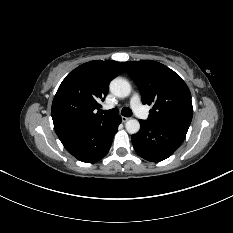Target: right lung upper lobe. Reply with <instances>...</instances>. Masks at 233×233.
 Returning a JSON list of instances; mask_svg holds the SVG:
<instances>
[{
    "mask_svg": "<svg viewBox=\"0 0 233 233\" xmlns=\"http://www.w3.org/2000/svg\"><path fill=\"white\" fill-rule=\"evenodd\" d=\"M122 71L117 61L94 60L69 73L60 84L52 103L56 134L60 136L91 122L109 118L102 115L99 102L104 100L111 79Z\"/></svg>",
    "mask_w": 233,
    "mask_h": 233,
    "instance_id": "right-lung-upper-lobe-1",
    "label": "right lung upper lobe"
}]
</instances>
